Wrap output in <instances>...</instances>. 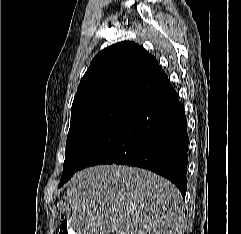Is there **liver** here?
Returning a JSON list of instances; mask_svg holds the SVG:
<instances>
[{
	"mask_svg": "<svg viewBox=\"0 0 241 234\" xmlns=\"http://www.w3.org/2000/svg\"><path fill=\"white\" fill-rule=\"evenodd\" d=\"M182 204L178 188L155 173L99 165L74 174L61 210L75 234H177Z\"/></svg>",
	"mask_w": 241,
	"mask_h": 234,
	"instance_id": "liver-1",
	"label": "liver"
}]
</instances>
